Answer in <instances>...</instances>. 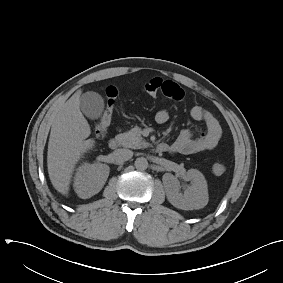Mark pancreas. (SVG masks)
Instances as JSON below:
<instances>
[{
  "instance_id": "obj_1",
  "label": "pancreas",
  "mask_w": 283,
  "mask_h": 283,
  "mask_svg": "<svg viewBox=\"0 0 283 283\" xmlns=\"http://www.w3.org/2000/svg\"><path fill=\"white\" fill-rule=\"evenodd\" d=\"M140 131L139 127H134L126 133L119 134L117 138L120 140L123 147L133 149L145 148L149 146V143L142 138Z\"/></svg>"
}]
</instances>
